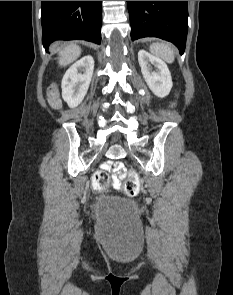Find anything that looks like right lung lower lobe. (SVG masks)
<instances>
[{
    "mask_svg": "<svg viewBox=\"0 0 233 295\" xmlns=\"http://www.w3.org/2000/svg\"><path fill=\"white\" fill-rule=\"evenodd\" d=\"M102 1H42L43 46L55 40L83 39L100 44Z\"/></svg>",
    "mask_w": 233,
    "mask_h": 295,
    "instance_id": "98d812e1",
    "label": "right lung lower lobe"
}]
</instances>
